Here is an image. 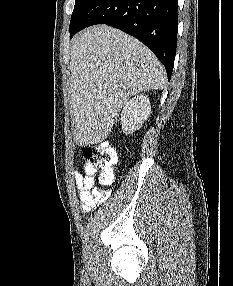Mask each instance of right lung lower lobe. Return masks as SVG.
<instances>
[{"mask_svg": "<svg viewBox=\"0 0 233 286\" xmlns=\"http://www.w3.org/2000/svg\"><path fill=\"white\" fill-rule=\"evenodd\" d=\"M178 0H91L70 35L95 24L116 27L144 43L170 79L177 46Z\"/></svg>", "mask_w": 233, "mask_h": 286, "instance_id": "obj_1", "label": "right lung lower lobe"}]
</instances>
